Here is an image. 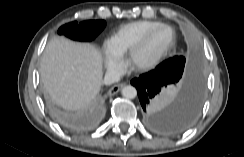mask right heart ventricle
Segmentation results:
<instances>
[{"label":"right heart ventricle","instance_id":"e07e8e85","mask_svg":"<svg viewBox=\"0 0 244 157\" xmlns=\"http://www.w3.org/2000/svg\"><path fill=\"white\" fill-rule=\"evenodd\" d=\"M161 24L159 21H135L119 27L110 39V46L118 56L126 55L141 38L153 27Z\"/></svg>","mask_w":244,"mask_h":157}]
</instances>
